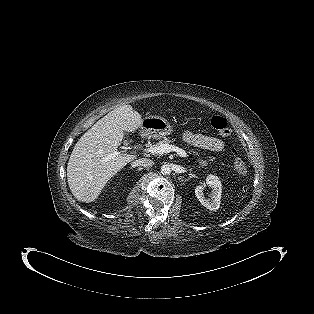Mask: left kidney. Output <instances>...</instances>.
<instances>
[{
	"label": "left kidney",
	"mask_w": 314,
	"mask_h": 314,
	"mask_svg": "<svg viewBox=\"0 0 314 314\" xmlns=\"http://www.w3.org/2000/svg\"><path fill=\"white\" fill-rule=\"evenodd\" d=\"M206 185L212 189L209 199L205 198L203 193L205 185L196 186L195 195L203 206L211 211H216L220 207L222 193L221 181L217 176L209 175L206 179Z\"/></svg>",
	"instance_id": "1"
}]
</instances>
